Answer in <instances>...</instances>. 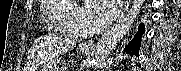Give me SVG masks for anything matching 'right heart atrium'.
<instances>
[{
    "instance_id": "d8ad5b80",
    "label": "right heart atrium",
    "mask_w": 181,
    "mask_h": 71,
    "mask_svg": "<svg viewBox=\"0 0 181 71\" xmlns=\"http://www.w3.org/2000/svg\"><path fill=\"white\" fill-rule=\"evenodd\" d=\"M82 19H83V17H82V14L80 13L78 15V17H77V26H78V28L80 27V23L82 22Z\"/></svg>"
}]
</instances>
